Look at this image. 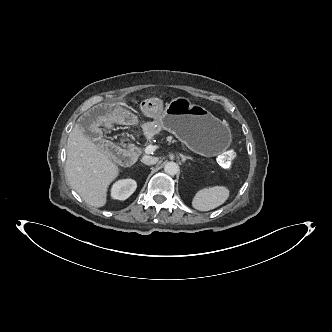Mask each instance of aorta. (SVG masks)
Segmentation results:
<instances>
[{"mask_svg": "<svg viewBox=\"0 0 332 332\" xmlns=\"http://www.w3.org/2000/svg\"><path fill=\"white\" fill-rule=\"evenodd\" d=\"M164 171L169 175H176L179 172L177 163L170 161L165 164Z\"/></svg>", "mask_w": 332, "mask_h": 332, "instance_id": "1", "label": "aorta"}]
</instances>
